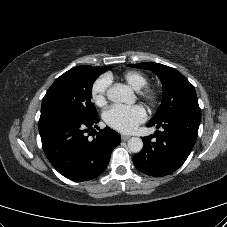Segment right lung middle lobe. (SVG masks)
<instances>
[{
  "mask_svg": "<svg viewBox=\"0 0 227 227\" xmlns=\"http://www.w3.org/2000/svg\"><path fill=\"white\" fill-rule=\"evenodd\" d=\"M109 67L79 66L62 74L48 89L42 100L41 116L63 112L81 119L96 118L91 102L96 78Z\"/></svg>",
  "mask_w": 227,
  "mask_h": 227,
  "instance_id": "obj_1",
  "label": "right lung middle lobe"
}]
</instances>
